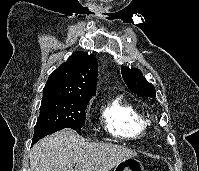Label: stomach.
Segmentation results:
<instances>
[{
    "label": "stomach",
    "instance_id": "1",
    "mask_svg": "<svg viewBox=\"0 0 199 171\" xmlns=\"http://www.w3.org/2000/svg\"><path fill=\"white\" fill-rule=\"evenodd\" d=\"M114 171H145L142 163L135 158H128L117 163Z\"/></svg>",
    "mask_w": 199,
    "mask_h": 171
}]
</instances>
